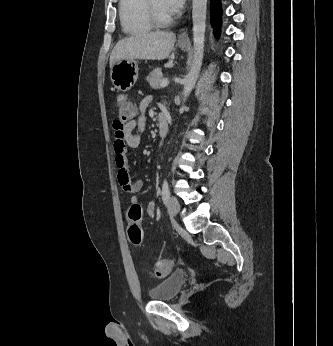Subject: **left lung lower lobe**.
Instances as JSON below:
<instances>
[{
	"instance_id": "1",
	"label": "left lung lower lobe",
	"mask_w": 333,
	"mask_h": 346,
	"mask_svg": "<svg viewBox=\"0 0 333 346\" xmlns=\"http://www.w3.org/2000/svg\"><path fill=\"white\" fill-rule=\"evenodd\" d=\"M211 14V23L215 28L216 34H218L220 31L219 28L221 26L222 15L220 0H211Z\"/></svg>"
}]
</instances>
